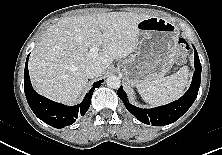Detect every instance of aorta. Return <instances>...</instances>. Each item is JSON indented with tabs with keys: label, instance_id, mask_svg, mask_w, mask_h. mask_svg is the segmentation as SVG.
I'll list each match as a JSON object with an SVG mask.
<instances>
[{
	"label": "aorta",
	"instance_id": "aorta-1",
	"mask_svg": "<svg viewBox=\"0 0 222 155\" xmlns=\"http://www.w3.org/2000/svg\"><path fill=\"white\" fill-rule=\"evenodd\" d=\"M106 84L109 88L117 89L121 85V80L115 75H111L106 79Z\"/></svg>",
	"mask_w": 222,
	"mask_h": 155
}]
</instances>
